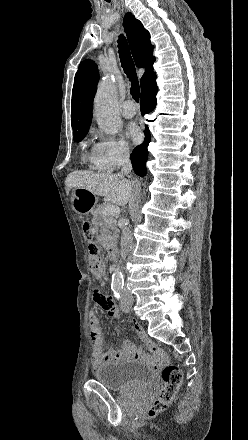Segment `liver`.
Returning <instances> with one entry per match:
<instances>
[{"instance_id":"6515ba94","label":"liver","mask_w":248,"mask_h":440,"mask_svg":"<svg viewBox=\"0 0 248 440\" xmlns=\"http://www.w3.org/2000/svg\"><path fill=\"white\" fill-rule=\"evenodd\" d=\"M72 188L86 189L107 202L125 205L133 199L135 184L120 174L74 171L65 180L67 194Z\"/></svg>"}]
</instances>
